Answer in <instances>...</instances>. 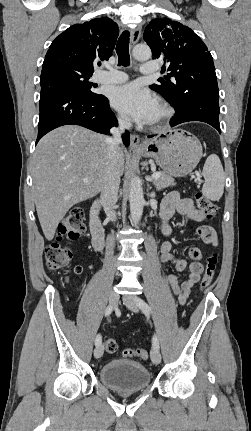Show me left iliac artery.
Returning <instances> with one entry per match:
<instances>
[{
  "instance_id": "1",
  "label": "left iliac artery",
  "mask_w": 251,
  "mask_h": 431,
  "mask_svg": "<svg viewBox=\"0 0 251 431\" xmlns=\"http://www.w3.org/2000/svg\"><path fill=\"white\" fill-rule=\"evenodd\" d=\"M138 305L139 307L142 309V311L146 314H150L151 313V308L149 307V305L142 300L141 298H138ZM153 347L159 349V342H158V338L156 335H154L153 337Z\"/></svg>"
}]
</instances>
